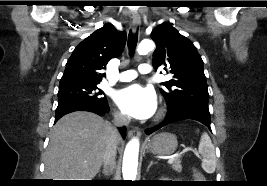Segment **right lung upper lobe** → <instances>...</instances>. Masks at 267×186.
Listing matches in <instances>:
<instances>
[{"label": "right lung upper lobe", "instance_id": "right-lung-upper-lobe-1", "mask_svg": "<svg viewBox=\"0 0 267 186\" xmlns=\"http://www.w3.org/2000/svg\"><path fill=\"white\" fill-rule=\"evenodd\" d=\"M126 43V33L106 23L83 40L68 59L59 85L74 83L99 84L111 58L119 57Z\"/></svg>", "mask_w": 267, "mask_h": 186}]
</instances>
